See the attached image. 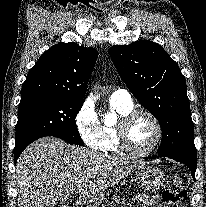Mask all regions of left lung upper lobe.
<instances>
[{
  "label": "left lung upper lobe",
  "instance_id": "1",
  "mask_svg": "<svg viewBox=\"0 0 206 207\" xmlns=\"http://www.w3.org/2000/svg\"><path fill=\"white\" fill-rule=\"evenodd\" d=\"M108 52L127 87L161 125L158 155L196 159L186 79L177 63L149 40L113 46Z\"/></svg>",
  "mask_w": 206,
  "mask_h": 207
}]
</instances>
